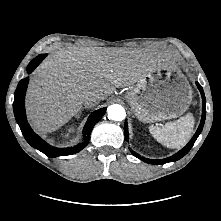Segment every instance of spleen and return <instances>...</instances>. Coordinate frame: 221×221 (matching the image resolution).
<instances>
[{
    "label": "spleen",
    "mask_w": 221,
    "mask_h": 221,
    "mask_svg": "<svg viewBox=\"0 0 221 221\" xmlns=\"http://www.w3.org/2000/svg\"><path fill=\"white\" fill-rule=\"evenodd\" d=\"M194 123L193 115L188 113L176 121L166 123L162 127L151 125L149 132L162 145L171 149H179L190 139Z\"/></svg>",
    "instance_id": "obj_1"
}]
</instances>
